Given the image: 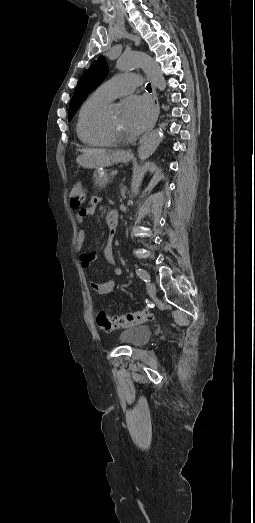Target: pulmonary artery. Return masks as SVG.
<instances>
[{
	"instance_id": "e3ab8cb5",
	"label": "pulmonary artery",
	"mask_w": 255,
	"mask_h": 523,
	"mask_svg": "<svg viewBox=\"0 0 255 523\" xmlns=\"http://www.w3.org/2000/svg\"><path fill=\"white\" fill-rule=\"evenodd\" d=\"M140 83V77L128 72H122L118 77H113L111 81L103 83L99 87V90L110 99H114L120 95L127 98L131 92H136L137 85Z\"/></svg>"
}]
</instances>
